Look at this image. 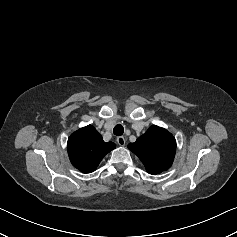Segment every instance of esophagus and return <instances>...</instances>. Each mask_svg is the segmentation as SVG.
<instances>
[{
	"instance_id": "1",
	"label": "esophagus",
	"mask_w": 237,
	"mask_h": 237,
	"mask_svg": "<svg viewBox=\"0 0 237 237\" xmlns=\"http://www.w3.org/2000/svg\"><path fill=\"white\" fill-rule=\"evenodd\" d=\"M117 143H118L120 146H124L125 143H126L125 138L122 137V136L117 137Z\"/></svg>"
}]
</instances>
